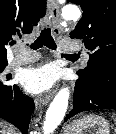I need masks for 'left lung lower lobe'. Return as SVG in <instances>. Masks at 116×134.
Returning a JSON list of instances; mask_svg holds the SVG:
<instances>
[{
	"instance_id": "obj_1",
	"label": "left lung lower lobe",
	"mask_w": 116,
	"mask_h": 134,
	"mask_svg": "<svg viewBox=\"0 0 116 134\" xmlns=\"http://www.w3.org/2000/svg\"><path fill=\"white\" fill-rule=\"evenodd\" d=\"M79 77L75 83L73 105L65 121L83 111L116 110V69L98 73L93 78Z\"/></svg>"
}]
</instances>
